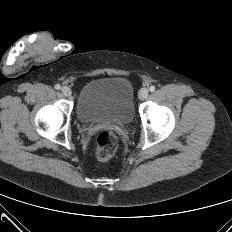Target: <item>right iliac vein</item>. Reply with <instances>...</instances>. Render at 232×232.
Returning a JSON list of instances; mask_svg holds the SVG:
<instances>
[{"instance_id": "right-iliac-vein-1", "label": "right iliac vein", "mask_w": 232, "mask_h": 232, "mask_svg": "<svg viewBox=\"0 0 232 232\" xmlns=\"http://www.w3.org/2000/svg\"><path fill=\"white\" fill-rule=\"evenodd\" d=\"M61 92L65 96H70L71 95V89L69 87H67V86H63L61 88Z\"/></svg>"}]
</instances>
